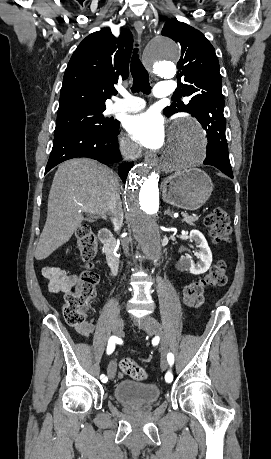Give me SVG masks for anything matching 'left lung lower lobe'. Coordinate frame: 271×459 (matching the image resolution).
I'll return each mask as SVG.
<instances>
[{
  "label": "left lung lower lobe",
  "mask_w": 271,
  "mask_h": 459,
  "mask_svg": "<svg viewBox=\"0 0 271 459\" xmlns=\"http://www.w3.org/2000/svg\"><path fill=\"white\" fill-rule=\"evenodd\" d=\"M199 122L205 129L208 138L204 164L213 165L229 177L233 178L229 161L228 145L225 136V118L217 116L210 119L199 120Z\"/></svg>",
  "instance_id": "left-lung-lower-lobe-1"
}]
</instances>
